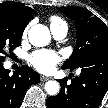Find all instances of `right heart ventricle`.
Returning <instances> with one entry per match:
<instances>
[{"instance_id": "obj_1", "label": "right heart ventricle", "mask_w": 108, "mask_h": 108, "mask_svg": "<svg viewBox=\"0 0 108 108\" xmlns=\"http://www.w3.org/2000/svg\"><path fill=\"white\" fill-rule=\"evenodd\" d=\"M56 24H66L61 18L59 17H52L51 18V26Z\"/></svg>"}]
</instances>
